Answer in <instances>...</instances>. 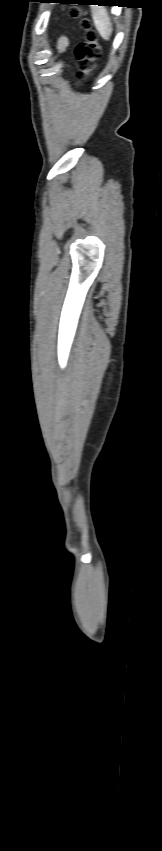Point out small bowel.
<instances>
[{
	"label": "small bowel",
	"mask_w": 162,
	"mask_h": 851,
	"mask_svg": "<svg viewBox=\"0 0 162 851\" xmlns=\"http://www.w3.org/2000/svg\"><path fill=\"white\" fill-rule=\"evenodd\" d=\"M68 45V40L66 38H61L59 41V50L64 51Z\"/></svg>",
	"instance_id": "obj_1"
}]
</instances>
